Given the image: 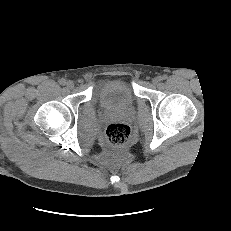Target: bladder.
<instances>
[{
    "label": "bladder",
    "mask_w": 231,
    "mask_h": 231,
    "mask_svg": "<svg viewBox=\"0 0 231 231\" xmlns=\"http://www.w3.org/2000/svg\"><path fill=\"white\" fill-rule=\"evenodd\" d=\"M97 97L99 103L107 109L125 108L135 100L131 84L119 78L103 81L97 89Z\"/></svg>",
    "instance_id": "1"
}]
</instances>
